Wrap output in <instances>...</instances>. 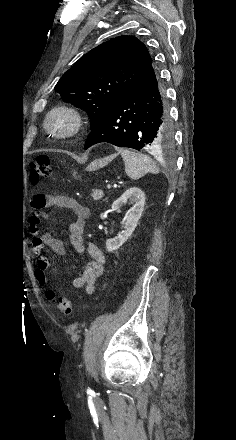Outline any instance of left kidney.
<instances>
[{
  "instance_id": "obj_1",
  "label": "left kidney",
  "mask_w": 236,
  "mask_h": 440,
  "mask_svg": "<svg viewBox=\"0 0 236 440\" xmlns=\"http://www.w3.org/2000/svg\"><path fill=\"white\" fill-rule=\"evenodd\" d=\"M129 201L132 208L127 211L124 217V231L118 236L108 239L106 241V249L108 252L119 249L132 235L137 227L138 221L142 215L145 204V194L138 187H131L126 190L116 201L112 204V210L120 212L121 208Z\"/></svg>"
}]
</instances>
